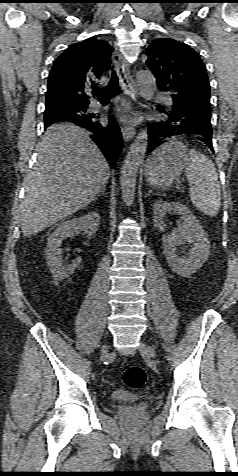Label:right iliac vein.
Here are the masks:
<instances>
[{
	"mask_svg": "<svg viewBox=\"0 0 238 476\" xmlns=\"http://www.w3.org/2000/svg\"><path fill=\"white\" fill-rule=\"evenodd\" d=\"M108 348H109V347H108L107 345H105V346L103 347V349H102V354H103V355H107V354H108Z\"/></svg>",
	"mask_w": 238,
	"mask_h": 476,
	"instance_id": "right-iliac-vein-1",
	"label": "right iliac vein"
}]
</instances>
